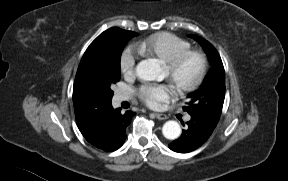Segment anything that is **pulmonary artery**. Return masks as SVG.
Segmentation results:
<instances>
[{"mask_svg": "<svg viewBox=\"0 0 288 181\" xmlns=\"http://www.w3.org/2000/svg\"><path fill=\"white\" fill-rule=\"evenodd\" d=\"M126 99H127V96L122 93H118L114 97V101L116 103H120L121 101L126 100ZM186 120H190V116H186Z\"/></svg>", "mask_w": 288, "mask_h": 181, "instance_id": "pulmonary-artery-1", "label": "pulmonary artery"}]
</instances>
